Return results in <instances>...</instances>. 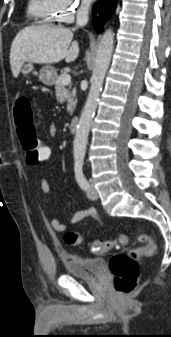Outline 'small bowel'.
<instances>
[{
	"mask_svg": "<svg viewBox=\"0 0 171 337\" xmlns=\"http://www.w3.org/2000/svg\"><path fill=\"white\" fill-rule=\"evenodd\" d=\"M56 132L54 126H50L49 133L50 135H54ZM50 157V156H49ZM40 188L44 194H48L50 191V185L46 177L42 176L40 178ZM85 218H92L95 220H99V216L94 209L87 210H79L73 213L68 223H63L57 218H52L50 221L51 227L57 232H67L68 229L81 222Z\"/></svg>",
	"mask_w": 171,
	"mask_h": 337,
	"instance_id": "c3829d8e",
	"label": "small bowel"
}]
</instances>
